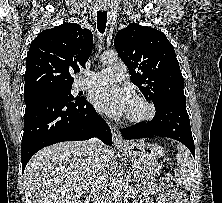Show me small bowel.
<instances>
[{"instance_id":"obj_1","label":"small bowel","mask_w":222,"mask_h":203,"mask_svg":"<svg viewBox=\"0 0 222 203\" xmlns=\"http://www.w3.org/2000/svg\"><path fill=\"white\" fill-rule=\"evenodd\" d=\"M147 191L149 194L155 196L156 203H185L182 193L173 191L163 184L159 186L149 184Z\"/></svg>"}]
</instances>
